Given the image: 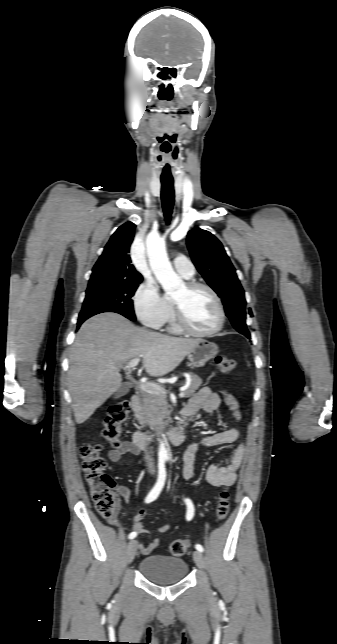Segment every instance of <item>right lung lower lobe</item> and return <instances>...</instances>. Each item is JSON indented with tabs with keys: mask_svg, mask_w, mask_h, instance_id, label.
Returning <instances> with one entry per match:
<instances>
[{
	"mask_svg": "<svg viewBox=\"0 0 337 644\" xmlns=\"http://www.w3.org/2000/svg\"><path fill=\"white\" fill-rule=\"evenodd\" d=\"M130 320H131V319H130ZM132 321H134V320H132ZM83 322H84V321H78V323H77V327L79 328V327H80V325H81Z\"/></svg>",
	"mask_w": 337,
	"mask_h": 644,
	"instance_id": "right-lung-lower-lobe-1",
	"label": "right lung lower lobe"
}]
</instances>
